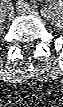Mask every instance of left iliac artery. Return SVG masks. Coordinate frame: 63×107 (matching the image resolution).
Here are the masks:
<instances>
[{"instance_id": "left-iliac-artery-1", "label": "left iliac artery", "mask_w": 63, "mask_h": 107, "mask_svg": "<svg viewBox=\"0 0 63 107\" xmlns=\"http://www.w3.org/2000/svg\"><path fill=\"white\" fill-rule=\"evenodd\" d=\"M24 4H26V3L19 1L17 5H24ZM40 12H41V15L44 17H50V15H51V11L48 8H43V9H41Z\"/></svg>"}]
</instances>
